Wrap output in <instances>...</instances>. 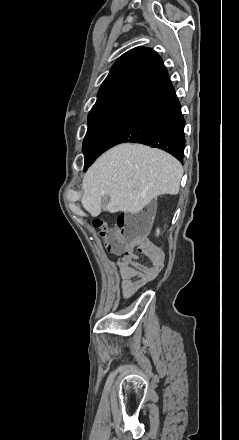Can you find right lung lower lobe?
<instances>
[{
	"label": "right lung lower lobe",
	"instance_id": "98d812e1",
	"mask_svg": "<svg viewBox=\"0 0 239 440\" xmlns=\"http://www.w3.org/2000/svg\"><path fill=\"white\" fill-rule=\"evenodd\" d=\"M185 120L167 75L149 91L131 99L114 124L100 138L94 151L85 155V169L110 147L142 143L162 149L183 161Z\"/></svg>",
	"mask_w": 239,
	"mask_h": 440
}]
</instances>
